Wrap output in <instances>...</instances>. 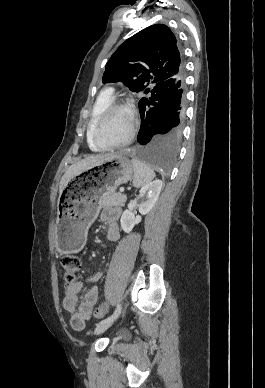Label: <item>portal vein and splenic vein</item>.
Instances as JSON below:
<instances>
[{
	"mask_svg": "<svg viewBox=\"0 0 265 388\" xmlns=\"http://www.w3.org/2000/svg\"><path fill=\"white\" fill-rule=\"evenodd\" d=\"M120 192H124V188H120Z\"/></svg>",
	"mask_w": 265,
	"mask_h": 388,
	"instance_id": "18ae733b",
	"label": "portal vein and splenic vein"
}]
</instances>
